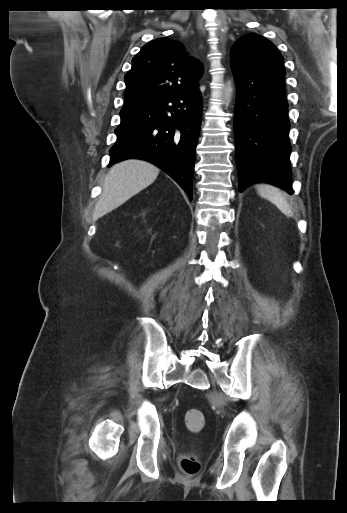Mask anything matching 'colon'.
I'll return each instance as SVG.
<instances>
[{
    "label": "colon",
    "instance_id": "5ec220e1",
    "mask_svg": "<svg viewBox=\"0 0 347 513\" xmlns=\"http://www.w3.org/2000/svg\"><path fill=\"white\" fill-rule=\"evenodd\" d=\"M185 423L190 431L199 432L205 425V418L200 410L189 409L185 413ZM179 465L183 475L189 478L197 475L200 469L199 460L193 453L183 454L179 459Z\"/></svg>",
    "mask_w": 347,
    "mask_h": 513
}]
</instances>
